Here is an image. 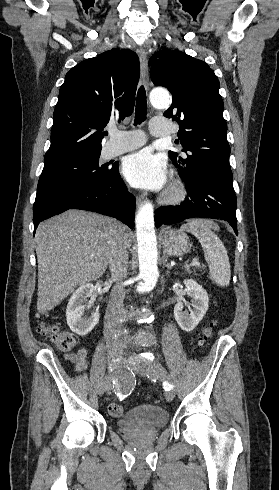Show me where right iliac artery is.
Here are the masks:
<instances>
[{"instance_id": "obj_1", "label": "right iliac artery", "mask_w": 279, "mask_h": 490, "mask_svg": "<svg viewBox=\"0 0 279 490\" xmlns=\"http://www.w3.org/2000/svg\"><path fill=\"white\" fill-rule=\"evenodd\" d=\"M117 392H118V393H117V396H118V397H122V396L124 395V394L122 393V389H121V388H118V389H117ZM120 400L122 401L123 399L121 398Z\"/></svg>"}]
</instances>
